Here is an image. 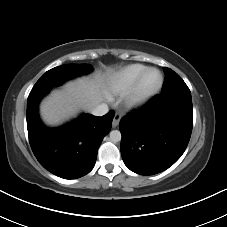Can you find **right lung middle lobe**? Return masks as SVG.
<instances>
[{
  "mask_svg": "<svg viewBox=\"0 0 227 227\" xmlns=\"http://www.w3.org/2000/svg\"><path fill=\"white\" fill-rule=\"evenodd\" d=\"M92 70L91 65L69 64L55 67L44 73L32 88L29 97L48 92L52 87L62 84L64 81L87 74Z\"/></svg>",
  "mask_w": 227,
  "mask_h": 227,
  "instance_id": "obj_1",
  "label": "right lung middle lobe"
}]
</instances>
